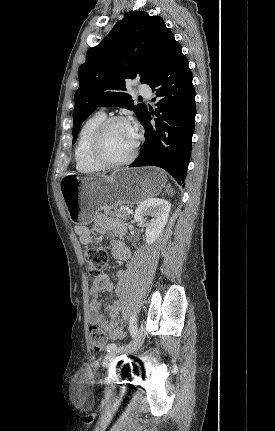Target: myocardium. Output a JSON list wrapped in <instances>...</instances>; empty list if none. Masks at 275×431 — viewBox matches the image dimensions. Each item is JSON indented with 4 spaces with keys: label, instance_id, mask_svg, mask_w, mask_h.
Returning <instances> with one entry per match:
<instances>
[{
    "label": "myocardium",
    "instance_id": "f54148a6",
    "mask_svg": "<svg viewBox=\"0 0 275 431\" xmlns=\"http://www.w3.org/2000/svg\"><path fill=\"white\" fill-rule=\"evenodd\" d=\"M117 123H126L129 124V121L122 116H112L103 120L100 125L96 128L95 132L92 135L90 145H89V154L91 159L99 165L101 168L105 169H116L120 167L127 166L131 164L138 152L139 143L135 140V144L131 154L122 161H111L104 155L103 146L105 136L108 130Z\"/></svg>",
    "mask_w": 275,
    "mask_h": 431
}]
</instances>
